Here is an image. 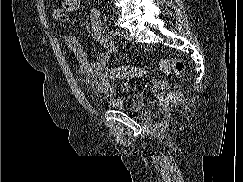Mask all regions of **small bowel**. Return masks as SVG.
Segmentation results:
<instances>
[{"label":"small bowel","instance_id":"small-bowel-1","mask_svg":"<svg viewBox=\"0 0 243 182\" xmlns=\"http://www.w3.org/2000/svg\"><path fill=\"white\" fill-rule=\"evenodd\" d=\"M80 0H62V6L53 11V18L63 24L70 23V12H74L79 8ZM91 34L101 48L95 60L91 61L88 54L83 49L79 40L73 35H66L64 41L68 48L75 55L81 75H83L88 84L96 87L100 93H108L112 90L110 81L106 75L102 73L106 67L109 58L117 51L116 44L105 33L101 16L98 10L94 9L90 14Z\"/></svg>","mask_w":243,"mask_h":182}]
</instances>
